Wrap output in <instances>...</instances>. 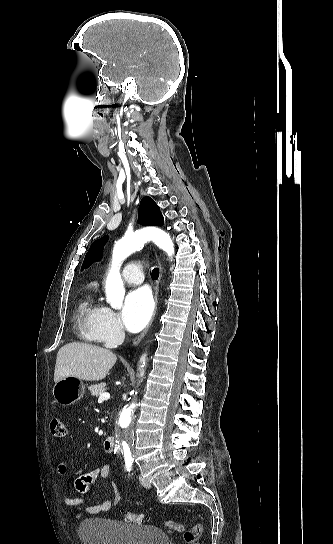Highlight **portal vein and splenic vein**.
<instances>
[{
	"label": "portal vein and splenic vein",
	"instance_id": "1",
	"mask_svg": "<svg viewBox=\"0 0 333 544\" xmlns=\"http://www.w3.org/2000/svg\"><path fill=\"white\" fill-rule=\"evenodd\" d=\"M109 398H110V394H109V393H107V392L101 393L100 396H99L98 401L101 402V401L107 400V399H109Z\"/></svg>",
	"mask_w": 333,
	"mask_h": 544
}]
</instances>
